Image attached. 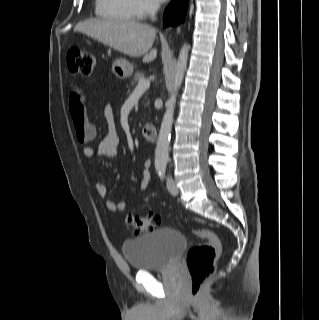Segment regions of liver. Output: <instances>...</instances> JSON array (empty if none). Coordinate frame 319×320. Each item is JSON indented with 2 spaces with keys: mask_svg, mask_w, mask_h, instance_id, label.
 Masks as SVG:
<instances>
[{
  "mask_svg": "<svg viewBox=\"0 0 319 320\" xmlns=\"http://www.w3.org/2000/svg\"><path fill=\"white\" fill-rule=\"evenodd\" d=\"M74 31L130 57L144 56L145 63L157 57V49H151L156 31L143 23L120 19H89L78 23Z\"/></svg>",
  "mask_w": 319,
  "mask_h": 320,
  "instance_id": "6515ba94",
  "label": "liver"
}]
</instances>
